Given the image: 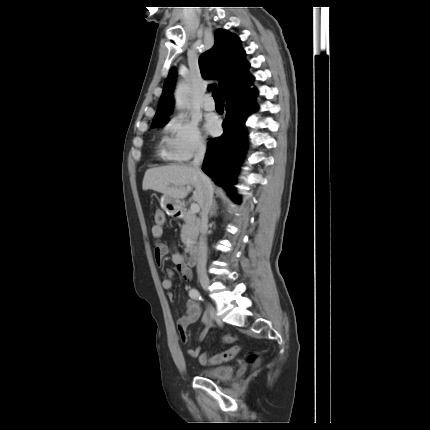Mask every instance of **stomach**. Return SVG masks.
<instances>
[{
	"label": "stomach",
	"instance_id": "stomach-1",
	"mask_svg": "<svg viewBox=\"0 0 430 430\" xmlns=\"http://www.w3.org/2000/svg\"><path fill=\"white\" fill-rule=\"evenodd\" d=\"M161 206L165 211H167L169 213L173 212L176 209L175 204H174V199H172L168 196L163 197V202H162Z\"/></svg>",
	"mask_w": 430,
	"mask_h": 430
}]
</instances>
